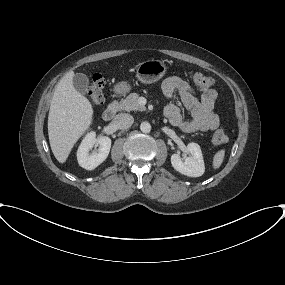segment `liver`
<instances>
[{
  "mask_svg": "<svg viewBox=\"0 0 285 285\" xmlns=\"http://www.w3.org/2000/svg\"><path fill=\"white\" fill-rule=\"evenodd\" d=\"M74 72L66 73L57 84L48 115V135L55 158L64 163L74 144L92 123L90 101L73 85Z\"/></svg>",
  "mask_w": 285,
  "mask_h": 285,
  "instance_id": "liver-1",
  "label": "liver"
}]
</instances>
